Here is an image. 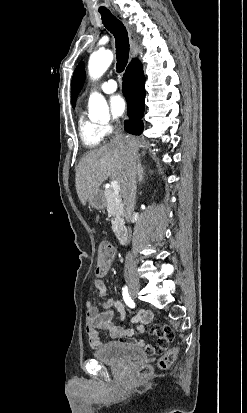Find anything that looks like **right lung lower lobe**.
I'll return each mask as SVG.
<instances>
[{
  "label": "right lung lower lobe",
  "instance_id": "obj_1",
  "mask_svg": "<svg viewBox=\"0 0 247 413\" xmlns=\"http://www.w3.org/2000/svg\"><path fill=\"white\" fill-rule=\"evenodd\" d=\"M123 94L127 100L129 120L124 123L125 130L134 135L143 131L141 118L144 113L145 103V76L143 69L136 73L123 76Z\"/></svg>",
  "mask_w": 247,
  "mask_h": 413
}]
</instances>
